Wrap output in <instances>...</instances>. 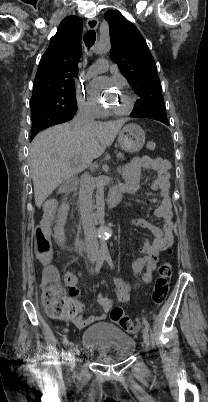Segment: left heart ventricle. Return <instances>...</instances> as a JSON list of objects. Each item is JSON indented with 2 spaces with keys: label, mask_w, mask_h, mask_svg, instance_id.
<instances>
[{
  "label": "left heart ventricle",
  "mask_w": 208,
  "mask_h": 402,
  "mask_svg": "<svg viewBox=\"0 0 208 402\" xmlns=\"http://www.w3.org/2000/svg\"><path fill=\"white\" fill-rule=\"evenodd\" d=\"M91 93L94 97L97 96V92L95 89H92ZM105 100H107V102L110 105H113L114 107H123L126 105V103L128 101V97L124 92H122L118 96H110V97L105 98Z\"/></svg>",
  "instance_id": "obj_1"
}]
</instances>
